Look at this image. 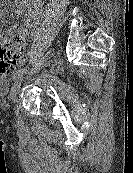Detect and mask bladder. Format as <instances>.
<instances>
[{"instance_id":"obj_1","label":"bladder","mask_w":133,"mask_h":173,"mask_svg":"<svg viewBox=\"0 0 133 173\" xmlns=\"http://www.w3.org/2000/svg\"><path fill=\"white\" fill-rule=\"evenodd\" d=\"M5 85L0 84V90L4 89Z\"/></svg>"}]
</instances>
